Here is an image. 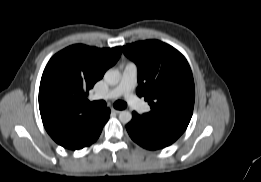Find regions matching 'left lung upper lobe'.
I'll list each match as a JSON object with an SVG mask.
<instances>
[{"label": "left lung upper lobe", "mask_w": 261, "mask_h": 182, "mask_svg": "<svg viewBox=\"0 0 261 182\" xmlns=\"http://www.w3.org/2000/svg\"><path fill=\"white\" fill-rule=\"evenodd\" d=\"M138 67L137 95L151 111L141 115L148 123L185 131L193 113L195 87L185 57L172 46L146 40L123 46Z\"/></svg>", "instance_id": "left-lung-upper-lobe-1"}]
</instances>
